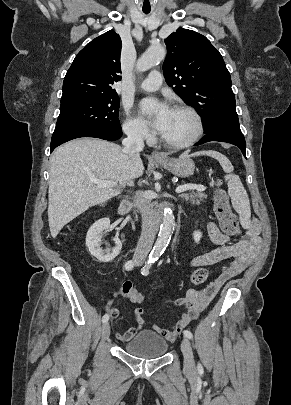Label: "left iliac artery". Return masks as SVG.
<instances>
[{"label": "left iliac artery", "mask_w": 291, "mask_h": 405, "mask_svg": "<svg viewBox=\"0 0 291 405\" xmlns=\"http://www.w3.org/2000/svg\"><path fill=\"white\" fill-rule=\"evenodd\" d=\"M153 263L154 261H148V263L141 269L142 275L147 276L149 274V270ZM184 336L187 337L188 339L193 338V335L189 330L184 331Z\"/></svg>", "instance_id": "obj_1"}]
</instances>
